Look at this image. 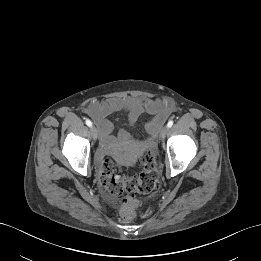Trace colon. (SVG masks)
Instances as JSON below:
<instances>
[{
	"mask_svg": "<svg viewBox=\"0 0 261 261\" xmlns=\"http://www.w3.org/2000/svg\"><path fill=\"white\" fill-rule=\"evenodd\" d=\"M143 171L135 176L120 177L115 173V166L110 158H105L100 168V183L113 195H126L120 209L121 217L130 220L136 215V202L132 197L137 193H151L157 188L159 174L157 160L150 150L140 157Z\"/></svg>",
	"mask_w": 261,
	"mask_h": 261,
	"instance_id": "5ec220e1",
	"label": "colon"
}]
</instances>
